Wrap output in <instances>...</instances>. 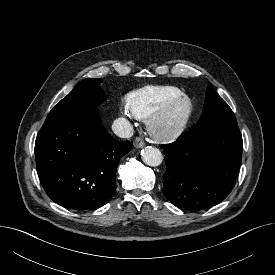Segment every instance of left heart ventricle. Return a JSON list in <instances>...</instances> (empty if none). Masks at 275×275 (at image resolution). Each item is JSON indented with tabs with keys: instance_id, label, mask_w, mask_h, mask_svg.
<instances>
[{
	"instance_id": "b2bd125f",
	"label": "left heart ventricle",
	"mask_w": 275,
	"mask_h": 275,
	"mask_svg": "<svg viewBox=\"0 0 275 275\" xmlns=\"http://www.w3.org/2000/svg\"><path fill=\"white\" fill-rule=\"evenodd\" d=\"M180 114V109L179 108H176L169 116H168V119L167 121L168 122H174L178 116Z\"/></svg>"
}]
</instances>
